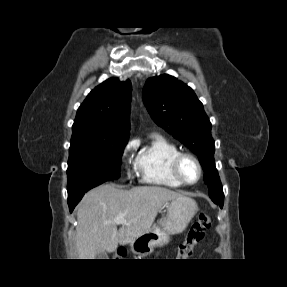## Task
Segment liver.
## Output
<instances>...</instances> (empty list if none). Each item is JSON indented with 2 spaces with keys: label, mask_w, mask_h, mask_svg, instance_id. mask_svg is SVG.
I'll use <instances>...</instances> for the list:
<instances>
[{
  "label": "liver",
  "mask_w": 287,
  "mask_h": 287,
  "mask_svg": "<svg viewBox=\"0 0 287 287\" xmlns=\"http://www.w3.org/2000/svg\"><path fill=\"white\" fill-rule=\"evenodd\" d=\"M182 194L159 186L131 190L104 184L83 197L77 208L75 247L79 259H96L98 252H114L149 230L158 211ZM124 215V223L114 220ZM120 228L117 229V226Z\"/></svg>",
  "instance_id": "obj_1"
}]
</instances>
